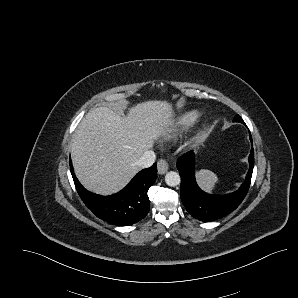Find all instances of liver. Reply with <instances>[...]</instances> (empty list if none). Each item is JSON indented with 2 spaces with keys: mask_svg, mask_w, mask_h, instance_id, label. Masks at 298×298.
I'll use <instances>...</instances> for the list:
<instances>
[{
  "mask_svg": "<svg viewBox=\"0 0 298 298\" xmlns=\"http://www.w3.org/2000/svg\"><path fill=\"white\" fill-rule=\"evenodd\" d=\"M175 104L148 99L130 105L124 115L104 106L90 110L70 145L73 170L80 184L99 196L123 190L141 167L137 161L176 124Z\"/></svg>",
  "mask_w": 298,
  "mask_h": 298,
  "instance_id": "liver-1",
  "label": "liver"
}]
</instances>
